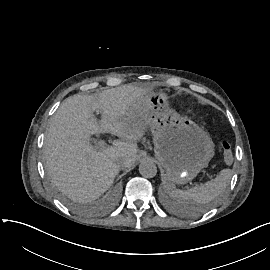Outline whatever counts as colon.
I'll return each mask as SVG.
<instances>
[{
    "label": "colon",
    "instance_id": "obj_1",
    "mask_svg": "<svg viewBox=\"0 0 270 270\" xmlns=\"http://www.w3.org/2000/svg\"><path fill=\"white\" fill-rule=\"evenodd\" d=\"M224 151L221 153V158L225 165H232L234 163L235 153L232 151L231 143L224 140L222 141Z\"/></svg>",
    "mask_w": 270,
    "mask_h": 270
}]
</instances>
